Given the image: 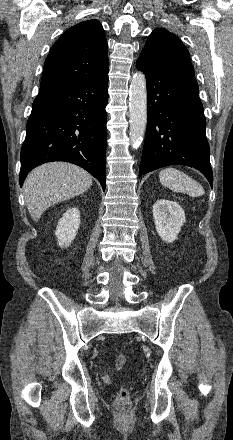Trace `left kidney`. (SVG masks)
<instances>
[{
  "mask_svg": "<svg viewBox=\"0 0 233 440\" xmlns=\"http://www.w3.org/2000/svg\"><path fill=\"white\" fill-rule=\"evenodd\" d=\"M153 218L158 235L167 243H172L178 238L186 221L182 207L165 199H160L153 205Z\"/></svg>",
  "mask_w": 233,
  "mask_h": 440,
  "instance_id": "5707ae66",
  "label": "left kidney"
}]
</instances>
